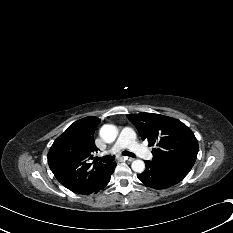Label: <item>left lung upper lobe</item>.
Here are the masks:
<instances>
[{"label": "left lung upper lobe", "mask_w": 233, "mask_h": 233, "mask_svg": "<svg viewBox=\"0 0 233 233\" xmlns=\"http://www.w3.org/2000/svg\"><path fill=\"white\" fill-rule=\"evenodd\" d=\"M143 140L153 149L154 164L184 178L193 167L198 142L193 132L177 119L154 113L128 114Z\"/></svg>", "instance_id": "obj_1"}]
</instances>
